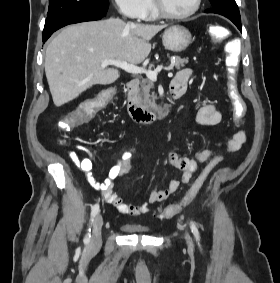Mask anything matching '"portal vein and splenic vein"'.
Wrapping results in <instances>:
<instances>
[{
	"label": "portal vein and splenic vein",
	"mask_w": 280,
	"mask_h": 283,
	"mask_svg": "<svg viewBox=\"0 0 280 283\" xmlns=\"http://www.w3.org/2000/svg\"><path fill=\"white\" fill-rule=\"evenodd\" d=\"M109 65H114L116 67H119L123 70H125L128 73L131 74H145L147 78H149L152 81L157 80V74L162 70V66H158L155 70H148V69H143L137 65L128 63L126 61H121V60H104L101 62V67H107Z\"/></svg>",
	"instance_id": "obj_1"
}]
</instances>
